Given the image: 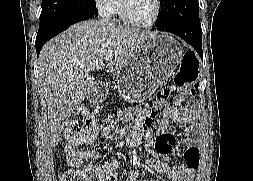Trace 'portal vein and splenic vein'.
<instances>
[{
	"instance_id": "1",
	"label": "portal vein and splenic vein",
	"mask_w": 253,
	"mask_h": 181,
	"mask_svg": "<svg viewBox=\"0 0 253 181\" xmlns=\"http://www.w3.org/2000/svg\"><path fill=\"white\" fill-rule=\"evenodd\" d=\"M113 56H114V54H113L112 52H111V53H107V54L105 55V60H106L107 62H110V61H112Z\"/></svg>"
}]
</instances>
